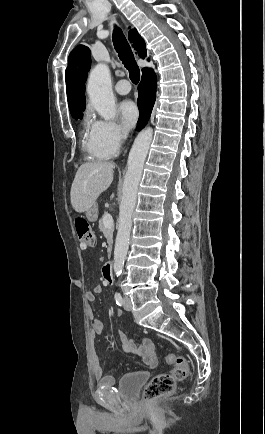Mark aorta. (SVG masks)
<instances>
[{
	"label": "aorta",
	"mask_w": 265,
	"mask_h": 434,
	"mask_svg": "<svg viewBox=\"0 0 265 434\" xmlns=\"http://www.w3.org/2000/svg\"><path fill=\"white\" fill-rule=\"evenodd\" d=\"M86 90L96 112L104 120H113L116 116V108L108 66L97 64L91 70ZM152 138V128H146V130L140 132L137 138H135L128 156V170L124 178L122 202L119 206L118 232L114 250L113 270L116 276H120L126 260L132 226V214L136 206L138 186Z\"/></svg>",
	"instance_id": "762f6f07"
}]
</instances>
